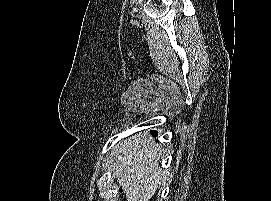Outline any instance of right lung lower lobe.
<instances>
[{"label": "right lung lower lobe", "instance_id": "obj_1", "mask_svg": "<svg viewBox=\"0 0 271 201\" xmlns=\"http://www.w3.org/2000/svg\"><path fill=\"white\" fill-rule=\"evenodd\" d=\"M152 134L155 135V136L157 135L156 131H152Z\"/></svg>", "mask_w": 271, "mask_h": 201}]
</instances>
